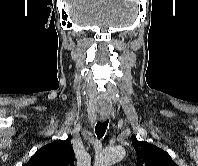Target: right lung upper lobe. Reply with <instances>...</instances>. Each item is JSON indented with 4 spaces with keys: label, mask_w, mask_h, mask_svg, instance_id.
I'll return each instance as SVG.
<instances>
[{
    "label": "right lung upper lobe",
    "mask_w": 198,
    "mask_h": 166,
    "mask_svg": "<svg viewBox=\"0 0 198 166\" xmlns=\"http://www.w3.org/2000/svg\"><path fill=\"white\" fill-rule=\"evenodd\" d=\"M74 161V150L67 139L43 146L23 166H74Z\"/></svg>",
    "instance_id": "1"
}]
</instances>
